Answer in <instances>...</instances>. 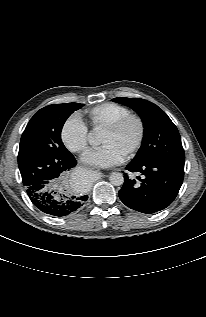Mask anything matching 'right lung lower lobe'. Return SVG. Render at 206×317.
Masks as SVG:
<instances>
[{"label": "right lung lower lobe", "instance_id": "right-lung-lower-lobe-1", "mask_svg": "<svg viewBox=\"0 0 206 317\" xmlns=\"http://www.w3.org/2000/svg\"><path fill=\"white\" fill-rule=\"evenodd\" d=\"M60 163L62 164L52 173L23 180L32 203L42 212L57 217L75 212L88 199L87 195L75 194L65 189V186L55 184L58 177L74 167L77 161L72 156L70 160L60 161Z\"/></svg>", "mask_w": 206, "mask_h": 317}]
</instances>
